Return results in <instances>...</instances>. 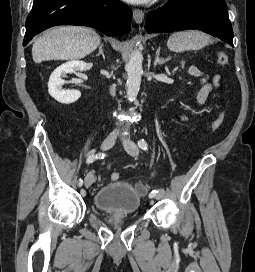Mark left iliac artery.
<instances>
[{"label": "left iliac artery", "mask_w": 255, "mask_h": 272, "mask_svg": "<svg viewBox=\"0 0 255 272\" xmlns=\"http://www.w3.org/2000/svg\"><path fill=\"white\" fill-rule=\"evenodd\" d=\"M138 146L142 149V150H147L148 148V145H147V142L144 140V139H140L138 141ZM158 193L157 190H153L150 194H149V197H155V195Z\"/></svg>", "instance_id": "left-iliac-artery-1"}]
</instances>
